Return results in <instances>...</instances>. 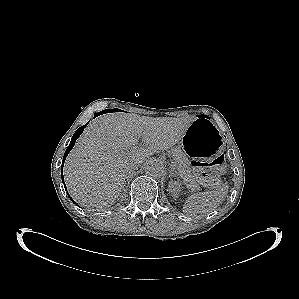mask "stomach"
<instances>
[{"instance_id":"stomach-1","label":"stomach","mask_w":299,"mask_h":299,"mask_svg":"<svg viewBox=\"0 0 299 299\" xmlns=\"http://www.w3.org/2000/svg\"><path fill=\"white\" fill-rule=\"evenodd\" d=\"M182 144L191 160L206 162L222 150L223 139L210 118L199 116L187 128Z\"/></svg>"}]
</instances>
